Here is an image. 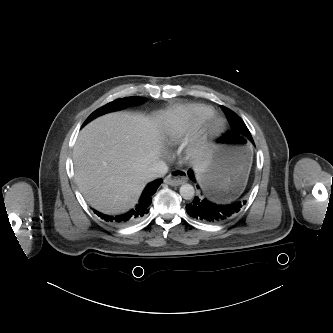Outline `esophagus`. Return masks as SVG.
I'll return each instance as SVG.
<instances>
[{
	"label": "esophagus",
	"mask_w": 333,
	"mask_h": 333,
	"mask_svg": "<svg viewBox=\"0 0 333 333\" xmlns=\"http://www.w3.org/2000/svg\"><path fill=\"white\" fill-rule=\"evenodd\" d=\"M187 180L186 173L182 170H176L170 173L164 182L171 186H179Z\"/></svg>",
	"instance_id": "obj_1"
}]
</instances>
